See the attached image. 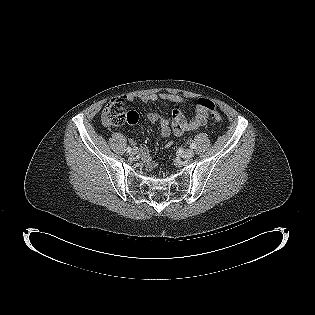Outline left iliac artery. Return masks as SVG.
I'll use <instances>...</instances> for the list:
<instances>
[{"instance_id": "left-iliac-artery-1", "label": "left iliac artery", "mask_w": 315, "mask_h": 315, "mask_svg": "<svg viewBox=\"0 0 315 315\" xmlns=\"http://www.w3.org/2000/svg\"><path fill=\"white\" fill-rule=\"evenodd\" d=\"M196 147V145L194 143L190 144V148L194 149Z\"/></svg>"}]
</instances>
